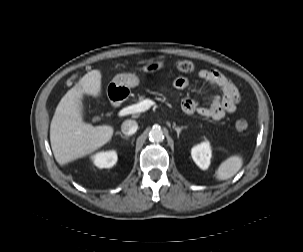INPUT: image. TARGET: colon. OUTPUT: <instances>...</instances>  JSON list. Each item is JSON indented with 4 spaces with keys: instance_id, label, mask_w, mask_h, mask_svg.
I'll return each instance as SVG.
<instances>
[{
    "instance_id": "obj_1",
    "label": "colon",
    "mask_w": 303,
    "mask_h": 252,
    "mask_svg": "<svg viewBox=\"0 0 303 252\" xmlns=\"http://www.w3.org/2000/svg\"><path fill=\"white\" fill-rule=\"evenodd\" d=\"M176 69L182 73H193L196 70V65L192 61L179 60L176 62ZM235 128L238 132L244 133L249 128V123L246 119L240 118L235 122Z\"/></svg>"
}]
</instances>
